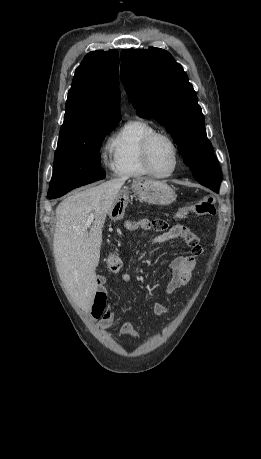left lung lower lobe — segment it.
Listing matches in <instances>:
<instances>
[{
	"instance_id": "1",
	"label": "left lung lower lobe",
	"mask_w": 261,
	"mask_h": 459,
	"mask_svg": "<svg viewBox=\"0 0 261 459\" xmlns=\"http://www.w3.org/2000/svg\"><path fill=\"white\" fill-rule=\"evenodd\" d=\"M203 186L210 188L216 193H219V187L221 182L216 181H199Z\"/></svg>"
}]
</instances>
